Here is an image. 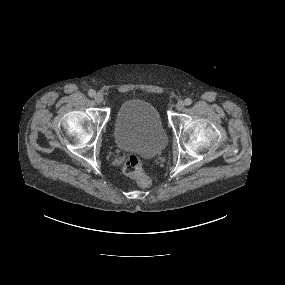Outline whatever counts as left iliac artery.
<instances>
[{
  "instance_id": "1",
  "label": "left iliac artery",
  "mask_w": 285,
  "mask_h": 285,
  "mask_svg": "<svg viewBox=\"0 0 285 285\" xmlns=\"http://www.w3.org/2000/svg\"><path fill=\"white\" fill-rule=\"evenodd\" d=\"M192 100L190 98L185 99V105L189 106L191 105Z\"/></svg>"
}]
</instances>
